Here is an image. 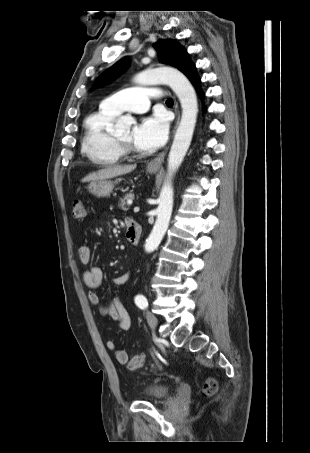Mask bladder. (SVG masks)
<instances>
[{
    "label": "bladder",
    "instance_id": "31cf9c89",
    "mask_svg": "<svg viewBox=\"0 0 310 453\" xmlns=\"http://www.w3.org/2000/svg\"><path fill=\"white\" fill-rule=\"evenodd\" d=\"M142 395L150 401L161 400L169 395V387L159 382H151L143 388Z\"/></svg>",
    "mask_w": 310,
    "mask_h": 453
}]
</instances>
